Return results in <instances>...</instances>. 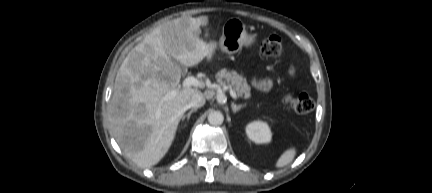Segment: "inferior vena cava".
Segmentation results:
<instances>
[{"instance_id": "inferior-vena-cava-1", "label": "inferior vena cava", "mask_w": 432, "mask_h": 193, "mask_svg": "<svg viewBox=\"0 0 432 193\" xmlns=\"http://www.w3.org/2000/svg\"><path fill=\"white\" fill-rule=\"evenodd\" d=\"M206 100L202 93L196 92L192 95L188 107L199 108L205 104Z\"/></svg>"}]
</instances>
